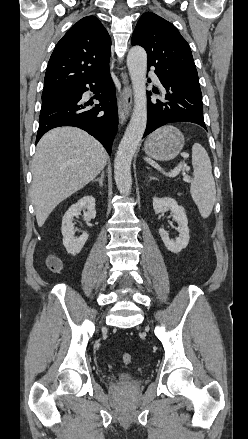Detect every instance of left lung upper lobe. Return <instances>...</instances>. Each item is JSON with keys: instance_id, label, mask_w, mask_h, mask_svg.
I'll list each match as a JSON object with an SVG mask.
<instances>
[{"instance_id": "obj_1", "label": "left lung upper lobe", "mask_w": 248, "mask_h": 439, "mask_svg": "<svg viewBox=\"0 0 248 439\" xmlns=\"http://www.w3.org/2000/svg\"><path fill=\"white\" fill-rule=\"evenodd\" d=\"M131 43L146 50L148 67L154 66L157 74L200 88L189 44L170 22L152 12L144 13Z\"/></svg>"}]
</instances>
